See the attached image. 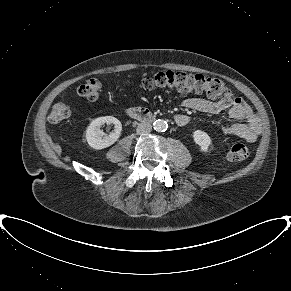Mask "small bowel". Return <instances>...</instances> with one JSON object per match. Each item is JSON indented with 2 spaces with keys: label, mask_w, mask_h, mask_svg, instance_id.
<instances>
[{
  "label": "small bowel",
  "mask_w": 291,
  "mask_h": 291,
  "mask_svg": "<svg viewBox=\"0 0 291 291\" xmlns=\"http://www.w3.org/2000/svg\"><path fill=\"white\" fill-rule=\"evenodd\" d=\"M182 105L210 115H217L227 110L229 117L237 122L219 126V131L224 135H234L249 142H254L261 132V124L258 117L240 97L231 96L220 99L217 102L202 97H188L182 101ZM189 120V117L185 114L175 116V122L179 126L187 125Z\"/></svg>",
  "instance_id": "1"
}]
</instances>
